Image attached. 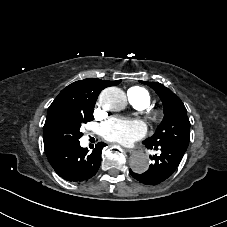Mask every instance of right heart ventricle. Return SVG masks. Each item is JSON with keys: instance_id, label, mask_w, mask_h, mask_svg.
<instances>
[{"instance_id": "right-heart-ventricle-1", "label": "right heart ventricle", "mask_w": 227, "mask_h": 227, "mask_svg": "<svg viewBox=\"0 0 227 227\" xmlns=\"http://www.w3.org/2000/svg\"><path fill=\"white\" fill-rule=\"evenodd\" d=\"M127 94L131 101L139 108H145L150 103V95L143 89L132 87L127 90Z\"/></svg>"}]
</instances>
